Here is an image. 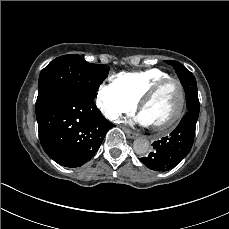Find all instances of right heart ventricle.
Listing matches in <instances>:
<instances>
[{
  "label": "right heart ventricle",
  "mask_w": 229,
  "mask_h": 229,
  "mask_svg": "<svg viewBox=\"0 0 229 229\" xmlns=\"http://www.w3.org/2000/svg\"><path fill=\"white\" fill-rule=\"evenodd\" d=\"M170 74L158 68L138 71L120 72L114 81L121 89L136 102L141 101L149 90Z\"/></svg>",
  "instance_id": "obj_1"
}]
</instances>
